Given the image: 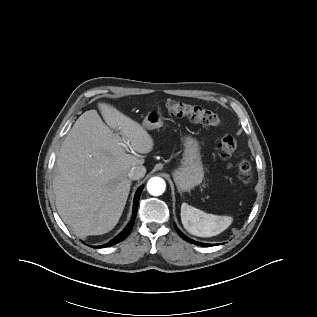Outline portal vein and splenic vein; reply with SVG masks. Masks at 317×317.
<instances>
[{
    "instance_id": "obj_1",
    "label": "portal vein and splenic vein",
    "mask_w": 317,
    "mask_h": 317,
    "mask_svg": "<svg viewBox=\"0 0 317 317\" xmlns=\"http://www.w3.org/2000/svg\"><path fill=\"white\" fill-rule=\"evenodd\" d=\"M130 141L127 140V142L124 144L125 147H127L129 145ZM132 153L134 154V151H132Z\"/></svg>"
}]
</instances>
